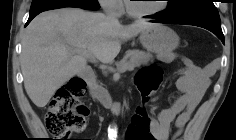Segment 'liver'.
Masks as SVG:
<instances>
[{
    "mask_svg": "<svg viewBox=\"0 0 236 140\" xmlns=\"http://www.w3.org/2000/svg\"><path fill=\"white\" fill-rule=\"evenodd\" d=\"M153 25L137 21L124 26L103 13L80 8L39 14L22 38L20 62L27 95L37 107H44L57 89L86 68L87 59L81 50L110 63L120 52L122 42Z\"/></svg>",
    "mask_w": 236,
    "mask_h": 140,
    "instance_id": "6515ba94",
    "label": "liver"
}]
</instances>
